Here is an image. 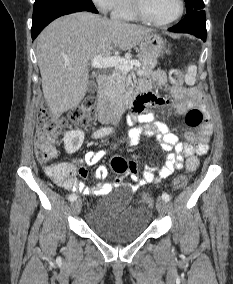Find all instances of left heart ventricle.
Segmentation results:
<instances>
[{
    "label": "left heart ventricle",
    "instance_id": "1",
    "mask_svg": "<svg viewBox=\"0 0 233 284\" xmlns=\"http://www.w3.org/2000/svg\"><path fill=\"white\" fill-rule=\"evenodd\" d=\"M145 10L154 19L166 21L178 11V0H143Z\"/></svg>",
    "mask_w": 233,
    "mask_h": 284
}]
</instances>
